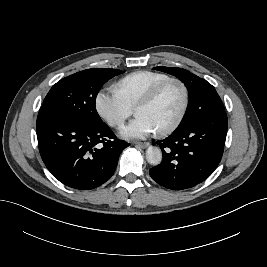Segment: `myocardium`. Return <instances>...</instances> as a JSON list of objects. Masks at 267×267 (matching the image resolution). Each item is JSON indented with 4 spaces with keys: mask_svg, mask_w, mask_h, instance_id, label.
Wrapping results in <instances>:
<instances>
[{
    "mask_svg": "<svg viewBox=\"0 0 267 267\" xmlns=\"http://www.w3.org/2000/svg\"><path fill=\"white\" fill-rule=\"evenodd\" d=\"M169 83H177L181 87L182 92H183V104H182V108L180 110V113L177 116V118L175 119V121L172 124H170L169 126L157 131V134L160 136H165V135L171 134L183 122V120L186 116L188 107H189V99H190L189 98V90H188L187 85L179 78L169 77V78L159 82L154 87H152L150 89V91L136 105V111L140 107L150 105L151 103H153L156 100V98L158 97L160 92L163 90V88L166 85H168Z\"/></svg>",
    "mask_w": 267,
    "mask_h": 267,
    "instance_id": "f54148a6",
    "label": "myocardium"
}]
</instances>
